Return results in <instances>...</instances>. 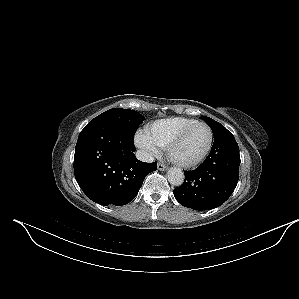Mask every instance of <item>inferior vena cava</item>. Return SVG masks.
I'll list each match as a JSON object with an SVG mask.
<instances>
[{"instance_id":"obj_1","label":"inferior vena cava","mask_w":299,"mask_h":299,"mask_svg":"<svg viewBox=\"0 0 299 299\" xmlns=\"http://www.w3.org/2000/svg\"><path fill=\"white\" fill-rule=\"evenodd\" d=\"M136 157L143 162L151 163L154 161V157L151 154L141 150L136 152Z\"/></svg>"}]
</instances>
